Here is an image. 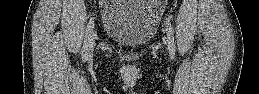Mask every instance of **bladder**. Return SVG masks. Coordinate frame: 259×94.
<instances>
[{"label":"bladder","mask_w":259,"mask_h":94,"mask_svg":"<svg viewBox=\"0 0 259 94\" xmlns=\"http://www.w3.org/2000/svg\"><path fill=\"white\" fill-rule=\"evenodd\" d=\"M162 15L160 5L149 0H110L102 8L105 34L119 45L136 49L155 35Z\"/></svg>","instance_id":"31cf9c89"}]
</instances>
